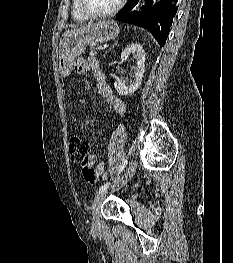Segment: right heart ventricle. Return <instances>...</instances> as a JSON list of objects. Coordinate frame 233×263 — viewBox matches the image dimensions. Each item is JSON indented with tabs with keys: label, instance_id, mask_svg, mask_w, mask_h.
<instances>
[{
	"label": "right heart ventricle",
	"instance_id": "right-heart-ventricle-1",
	"mask_svg": "<svg viewBox=\"0 0 233 263\" xmlns=\"http://www.w3.org/2000/svg\"><path fill=\"white\" fill-rule=\"evenodd\" d=\"M72 15L77 21L87 20V17L81 12L78 4V0H73L72 4Z\"/></svg>",
	"mask_w": 233,
	"mask_h": 263
}]
</instances>
